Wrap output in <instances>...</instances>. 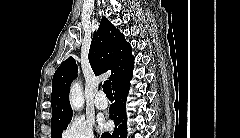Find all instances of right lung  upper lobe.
Returning <instances> with one entry per match:
<instances>
[{"label":"right lung upper lobe","mask_w":240,"mask_h":138,"mask_svg":"<svg viewBox=\"0 0 240 138\" xmlns=\"http://www.w3.org/2000/svg\"><path fill=\"white\" fill-rule=\"evenodd\" d=\"M131 46L124 35L108 19L102 18L92 39L88 58L96 75L111 70L109 79L112 88L132 77L134 57ZM78 67L74 58L69 57L56 70L52 80L51 126L65 123L72 118L69 103V89L77 77Z\"/></svg>","instance_id":"obj_1"}]
</instances>
